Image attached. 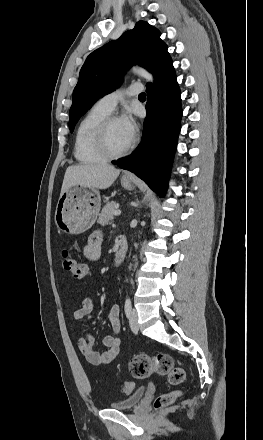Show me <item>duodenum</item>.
Wrapping results in <instances>:
<instances>
[{"mask_svg":"<svg viewBox=\"0 0 263 440\" xmlns=\"http://www.w3.org/2000/svg\"><path fill=\"white\" fill-rule=\"evenodd\" d=\"M126 250H127L126 242L124 240H120L119 245L114 254L115 266H119L123 262L126 255Z\"/></svg>","mask_w":263,"mask_h":440,"instance_id":"duodenum-1","label":"duodenum"}]
</instances>
